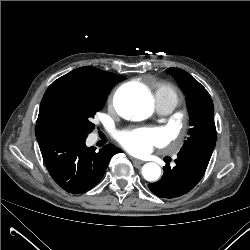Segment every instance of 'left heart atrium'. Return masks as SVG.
Listing matches in <instances>:
<instances>
[{
  "mask_svg": "<svg viewBox=\"0 0 250 250\" xmlns=\"http://www.w3.org/2000/svg\"><path fill=\"white\" fill-rule=\"evenodd\" d=\"M121 144L131 153L144 155L153 147L163 146L167 141V135L160 128H143L124 132L120 135Z\"/></svg>",
  "mask_w": 250,
  "mask_h": 250,
  "instance_id": "obj_1",
  "label": "left heart atrium"
}]
</instances>
